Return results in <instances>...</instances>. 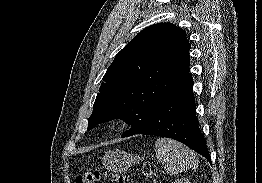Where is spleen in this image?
I'll return each instance as SVG.
<instances>
[{"label": "spleen", "mask_w": 262, "mask_h": 183, "mask_svg": "<svg viewBox=\"0 0 262 183\" xmlns=\"http://www.w3.org/2000/svg\"><path fill=\"white\" fill-rule=\"evenodd\" d=\"M155 148L157 160L164 165L167 174L175 175L198 166L194 152L175 140L159 138Z\"/></svg>", "instance_id": "3e777b00"}]
</instances>
